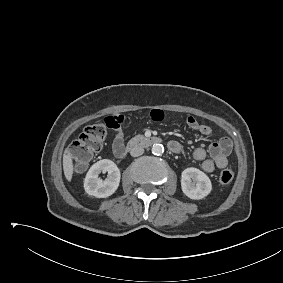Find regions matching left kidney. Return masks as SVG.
Segmentation results:
<instances>
[{
	"label": "left kidney",
	"instance_id": "left-kidney-1",
	"mask_svg": "<svg viewBox=\"0 0 283 283\" xmlns=\"http://www.w3.org/2000/svg\"><path fill=\"white\" fill-rule=\"evenodd\" d=\"M181 188L183 193L193 200L206 197L212 190L209 177L197 168H186L181 174Z\"/></svg>",
	"mask_w": 283,
	"mask_h": 283
}]
</instances>
